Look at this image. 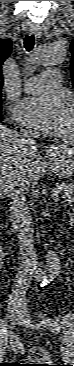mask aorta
Here are the masks:
<instances>
[{
    "mask_svg": "<svg viewBox=\"0 0 74 366\" xmlns=\"http://www.w3.org/2000/svg\"><path fill=\"white\" fill-rule=\"evenodd\" d=\"M67 48L62 43H45L37 47V49L27 58V64L30 67L39 66H58L66 60ZM57 255L50 251L46 259L45 274L51 277L56 272L53 269V263H57Z\"/></svg>",
    "mask_w": 74,
    "mask_h": 366,
    "instance_id": "obj_1",
    "label": "aorta"
}]
</instances>
